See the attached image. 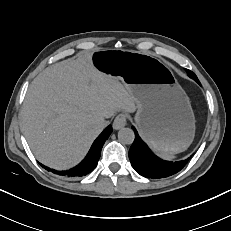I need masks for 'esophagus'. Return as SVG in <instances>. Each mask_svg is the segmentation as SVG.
<instances>
[{"label": "esophagus", "mask_w": 231, "mask_h": 231, "mask_svg": "<svg viewBox=\"0 0 231 231\" xmlns=\"http://www.w3.org/2000/svg\"><path fill=\"white\" fill-rule=\"evenodd\" d=\"M127 117L124 114H119L116 116L113 122V128L119 130L126 125Z\"/></svg>", "instance_id": "esophagus-1"}]
</instances>
